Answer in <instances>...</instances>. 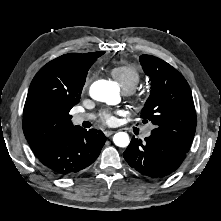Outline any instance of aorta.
Returning <instances> with one entry per match:
<instances>
[{
	"label": "aorta",
	"instance_id": "1",
	"mask_svg": "<svg viewBox=\"0 0 221 221\" xmlns=\"http://www.w3.org/2000/svg\"><path fill=\"white\" fill-rule=\"evenodd\" d=\"M89 93L94 100L108 104L115 103L119 97L117 87L107 80L95 81L91 85ZM113 142L118 147H127L130 139L126 132H118L113 136Z\"/></svg>",
	"mask_w": 221,
	"mask_h": 221
}]
</instances>
